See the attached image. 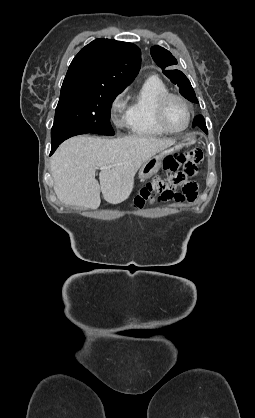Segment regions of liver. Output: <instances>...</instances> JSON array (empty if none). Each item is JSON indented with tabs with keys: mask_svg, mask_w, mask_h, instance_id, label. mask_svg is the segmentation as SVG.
I'll return each instance as SVG.
<instances>
[{
	"mask_svg": "<svg viewBox=\"0 0 255 418\" xmlns=\"http://www.w3.org/2000/svg\"><path fill=\"white\" fill-rule=\"evenodd\" d=\"M174 139L129 136L104 139L76 136L62 143L51 158L57 198L66 205L96 209L100 192L110 204L125 201L132 192L138 169ZM111 166V168L100 169ZM100 169L99 181L95 172Z\"/></svg>",
	"mask_w": 255,
	"mask_h": 418,
	"instance_id": "liver-1",
	"label": "liver"
}]
</instances>
